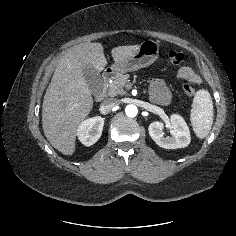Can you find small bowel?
Listing matches in <instances>:
<instances>
[{
  "instance_id": "1",
  "label": "small bowel",
  "mask_w": 236,
  "mask_h": 236,
  "mask_svg": "<svg viewBox=\"0 0 236 236\" xmlns=\"http://www.w3.org/2000/svg\"><path fill=\"white\" fill-rule=\"evenodd\" d=\"M178 76L194 83L200 81L199 76L190 67L184 66L179 69ZM149 91L151 99L158 104L166 105L171 101V92L167 84L158 78H152L149 81Z\"/></svg>"
}]
</instances>
